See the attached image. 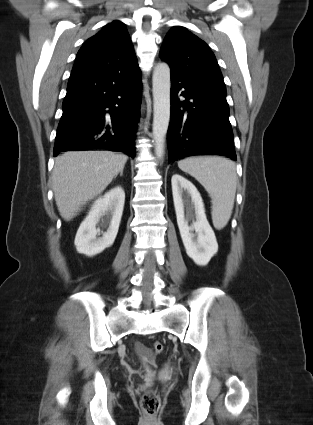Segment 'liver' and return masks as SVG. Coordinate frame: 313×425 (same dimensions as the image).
<instances>
[{
	"label": "liver",
	"mask_w": 313,
	"mask_h": 425,
	"mask_svg": "<svg viewBox=\"0 0 313 425\" xmlns=\"http://www.w3.org/2000/svg\"><path fill=\"white\" fill-rule=\"evenodd\" d=\"M127 159L111 151H70L56 157L52 182L61 217L74 218L81 206L105 190Z\"/></svg>",
	"instance_id": "6515ba94"
}]
</instances>
